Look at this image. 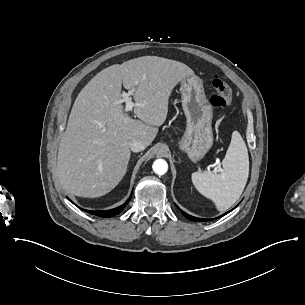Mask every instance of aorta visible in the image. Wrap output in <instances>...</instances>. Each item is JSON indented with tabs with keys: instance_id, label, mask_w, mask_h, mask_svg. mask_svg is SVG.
I'll use <instances>...</instances> for the list:
<instances>
[{
	"instance_id": "762f6f07",
	"label": "aorta",
	"mask_w": 305,
	"mask_h": 305,
	"mask_svg": "<svg viewBox=\"0 0 305 305\" xmlns=\"http://www.w3.org/2000/svg\"><path fill=\"white\" fill-rule=\"evenodd\" d=\"M153 171L158 175H164L168 170V164L164 159H157L152 165Z\"/></svg>"
}]
</instances>
